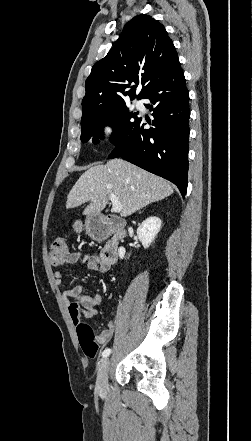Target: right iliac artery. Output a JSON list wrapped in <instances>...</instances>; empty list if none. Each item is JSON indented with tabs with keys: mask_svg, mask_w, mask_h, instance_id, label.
Here are the masks:
<instances>
[{
	"mask_svg": "<svg viewBox=\"0 0 252 441\" xmlns=\"http://www.w3.org/2000/svg\"><path fill=\"white\" fill-rule=\"evenodd\" d=\"M110 353H111V349L107 348L103 351L102 356L105 358L109 356Z\"/></svg>",
	"mask_w": 252,
	"mask_h": 441,
	"instance_id": "right-iliac-artery-1",
	"label": "right iliac artery"
}]
</instances>
